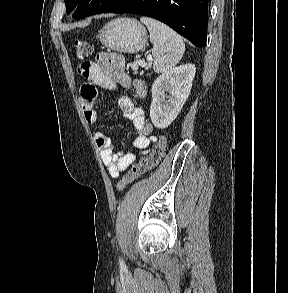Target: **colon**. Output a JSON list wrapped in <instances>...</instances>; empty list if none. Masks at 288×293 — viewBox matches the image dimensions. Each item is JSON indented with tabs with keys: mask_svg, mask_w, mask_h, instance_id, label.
Segmentation results:
<instances>
[{
	"mask_svg": "<svg viewBox=\"0 0 288 293\" xmlns=\"http://www.w3.org/2000/svg\"><path fill=\"white\" fill-rule=\"evenodd\" d=\"M76 56L79 60L87 62L93 54V44L85 39L78 38L74 41ZM167 139L160 136L152 152L134 164L129 172L119 181L118 190L123 191L129 184L152 170L162 159L166 149Z\"/></svg>",
	"mask_w": 288,
	"mask_h": 293,
	"instance_id": "5ec220e1",
	"label": "colon"
}]
</instances>
